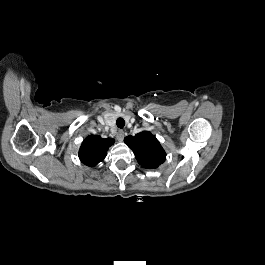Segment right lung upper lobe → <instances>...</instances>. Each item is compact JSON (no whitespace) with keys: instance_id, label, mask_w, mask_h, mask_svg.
<instances>
[{"instance_id":"cb5924a9","label":"right lung upper lobe","mask_w":265,"mask_h":265,"mask_svg":"<svg viewBox=\"0 0 265 265\" xmlns=\"http://www.w3.org/2000/svg\"><path fill=\"white\" fill-rule=\"evenodd\" d=\"M114 139H103L98 135H91L85 138L79 150L81 162L87 166H95L101 162L107 153V149L113 145Z\"/></svg>"}]
</instances>
